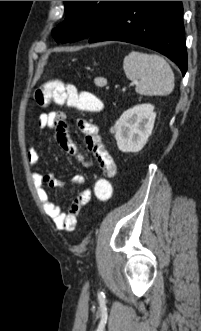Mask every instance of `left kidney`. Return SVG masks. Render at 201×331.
Listing matches in <instances>:
<instances>
[{
	"mask_svg": "<svg viewBox=\"0 0 201 331\" xmlns=\"http://www.w3.org/2000/svg\"><path fill=\"white\" fill-rule=\"evenodd\" d=\"M156 113L151 104H141L125 111L114 126L117 146L122 152H139L152 133Z\"/></svg>",
	"mask_w": 201,
	"mask_h": 331,
	"instance_id": "obj_1",
	"label": "left kidney"
}]
</instances>
